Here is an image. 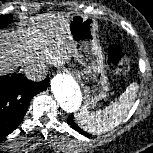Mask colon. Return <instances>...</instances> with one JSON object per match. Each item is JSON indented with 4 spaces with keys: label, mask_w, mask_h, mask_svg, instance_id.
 Listing matches in <instances>:
<instances>
[{
    "label": "colon",
    "mask_w": 153,
    "mask_h": 153,
    "mask_svg": "<svg viewBox=\"0 0 153 153\" xmlns=\"http://www.w3.org/2000/svg\"><path fill=\"white\" fill-rule=\"evenodd\" d=\"M109 70L113 73H125L129 69V58L117 45H112L107 51Z\"/></svg>",
    "instance_id": "1"
}]
</instances>
